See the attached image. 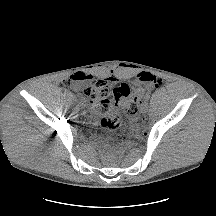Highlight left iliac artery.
<instances>
[{
  "instance_id": "1",
  "label": "left iliac artery",
  "mask_w": 216,
  "mask_h": 216,
  "mask_svg": "<svg viewBox=\"0 0 216 216\" xmlns=\"http://www.w3.org/2000/svg\"><path fill=\"white\" fill-rule=\"evenodd\" d=\"M150 101V98L149 97H146L145 100L143 101L145 104H148Z\"/></svg>"
}]
</instances>
